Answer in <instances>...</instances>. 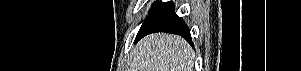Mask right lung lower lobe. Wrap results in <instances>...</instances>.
<instances>
[{
	"label": "right lung lower lobe",
	"instance_id": "right-lung-lower-lobe-1",
	"mask_svg": "<svg viewBox=\"0 0 301 71\" xmlns=\"http://www.w3.org/2000/svg\"><path fill=\"white\" fill-rule=\"evenodd\" d=\"M155 32L178 34L192 44L189 29L182 18L174 13V5L171 2H160L149 13L142 24L134 42L142 37Z\"/></svg>",
	"mask_w": 301,
	"mask_h": 71
}]
</instances>
